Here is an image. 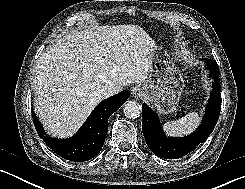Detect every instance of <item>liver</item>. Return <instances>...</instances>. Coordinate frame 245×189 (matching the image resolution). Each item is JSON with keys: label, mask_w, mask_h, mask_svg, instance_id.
I'll use <instances>...</instances> for the list:
<instances>
[{"label": "liver", "mask_w": 245, "mask_h": 189, "mask_svg": "<svg viewBox=\"0 0 245 189\" xmlns=\"http://www.w3.org/2000/svg\"><path fill=\"white\" fill-rule=\"evenodd\" d=\"M155 41L138 25L95 26L72 31L43 53L35 66V111L49 134L72 136L106 98L146 81Z\"/></svg>", "instance_id": "liver-1"}]
</instances>
